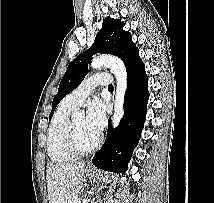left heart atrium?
Returning a JSON list of instances; mask_svg holds the SVG:
<instances>
[{
    "label": "left heart atrium",
    "mask_w": 214,
    "mask_h": 203,
    "mask_svg": "<svg viewBox=\"0 0 214 203\" xmlns=\"http://www.w3.org/2000/svg\"><path fill=\"white\" fill-rule=\"evenodd\" d=\"M105 122V106L99 98H95L89 106L86 124L93 132L98 134L104 128Z\"/></svg>",
    "instance_id": "obj_1"
}]
</instances>
